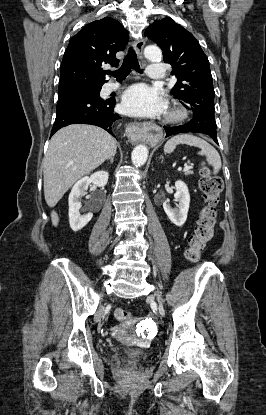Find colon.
Returning a JSON list of instances; mask_svg holds the SVG:
<instances>
[{
    "mask_svg": "<svg viewBox=\"0 0 266 415\" xmlns=\"http://www.w3.org/2000/svg\"><path fill=\"white\" fill-rule=\"evenodd\" d=\"M199 186L202 192L204 206L197 218V226L188 240L186 258L192 263H198L207 243L215 234L214 228L217 220V206L223 190L222 180L206 165L200 171ZM115 317L122 322H130L132 315L129 311L119 308L115 311Z\"/></svg>",
    "mask_w": 266,
    "mask_h": 415,
    "instance_id": "5ec220e1",
    "label": "colon"
}]
</instances>
